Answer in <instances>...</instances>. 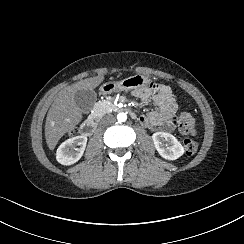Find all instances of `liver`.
Returning <instances> with one entry per match:
<instances>
[{"label":"liver","instance_id":"liver-1","mask_svg":"<svg viewBox=\"0 0 244 244\" xmlns=\"http://www.w3.org/2000/svg\"><path fill=\"white\" fill-rule=\"evenodd\" d=\"M104 76L88 78L65 87L51 105L45 123V138L50 150H54L59 140L83 120V112L78 107L77 91L93 90L103 81Z\"/></svg>","mask_w":244,"mask_h":244}]
</instances>
